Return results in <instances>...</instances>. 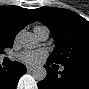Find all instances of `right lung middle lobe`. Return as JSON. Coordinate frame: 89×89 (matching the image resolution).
I'll return each instance as SVG.
<instances>
[{"mask_svg":"<svg viewBox=\"0 0 89 89\" xmlns=\"http://www.w3.org/2000/svg\"><path fill=\"white\" fill-rule=\"evenodd\" d=\"M7 47H12V45H6V44H2V43H0V53H3V50L5 49V48H7Z\"/></svg>","mask_w":89,"mask_h":89,"instance_id":"dd1d6c3e","label":"right lung middle lobe"}]
</instances>
